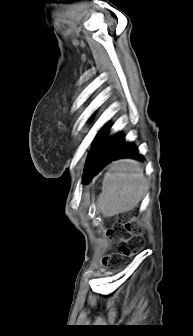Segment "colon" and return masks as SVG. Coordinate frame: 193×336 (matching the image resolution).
<instances>
[{
	"label": "colon",
	"instance_id": "obj_1",
	"mask_svg": "<svg viewBox=\"0 0 193 336\" xmlns=\"http://www.w3.org/2000/svg\"><path fill=\"white\" fill-rule=\"evenodd\" d=\"M119 225L124 228V233L118 235L122 244L119 247V253L122 256L129 257L135 254L141 246L140 237L143 234L142 226L130 215H122L118 219ZM114 236V231L110 232ZM110 257L105 258V263H109Z\"/></svg>",
	"mask_w": 193,
	"mask_h": 336
}]
</instances>
